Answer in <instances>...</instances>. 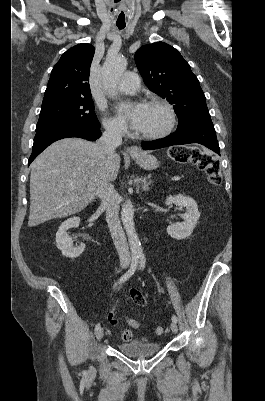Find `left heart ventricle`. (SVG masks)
Here are the masks:
<instances>
[{
  "label": "left heart ventricle",
  "mask_w": 265,
  "mask_h": 401,
  "mask_svg": "<svg viewBox=\"0 0 265 401\" xmlns=\"http://www.w3.org/2000/svg\"><path fill=\"white\" fill-rule=\"evenodd\" d=\"M166 114L158 106L148 105L142 125L138 128L140 134L157 131L165 122Z\"/></svg>",
  "instance_id": "left-heart-ventricle-1"
}]
</instances>
